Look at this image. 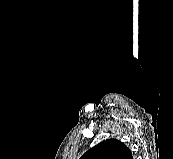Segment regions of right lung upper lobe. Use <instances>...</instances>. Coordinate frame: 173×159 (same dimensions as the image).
I'll return each mask as SVG.
<instances>
[{
    "mask_svg": "<svg viewBox=\"0 0 173 159\" xmlns=\"http://www.w3.org/2000/svg\"><path fill=\"white\" fill-rule=\"evenodd\" d=\"M80 159H133L127 146L117 139H108L94 146Z\"/></svg>",
    "mask_w": 173,
    "mask_h": 159,
    "instance_id": "1",
    "label": "right lung upper lobe"
}]
</instances>
